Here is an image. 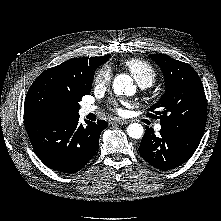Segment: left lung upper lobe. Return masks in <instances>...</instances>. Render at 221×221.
Here are the masks:
<instances>
[{
    "label": "left lung upper lobe",
    "instance_id": "1",
    "mask_svg": "<svg viewBox=\"0 0 221 221\" xmlns=\"http://www.w3.org/2000/svg\"><path fill=\"white\" fill-rule=\"evenodd\" d=\"M149 57L165 77V94L152 105L149 117L159 118L161 128L192 133L202 137L207 119L204 88L196 71L188 64L165 54Z\"/></svg>",
    "mask_w": 221,
    "mask_h": 221
}]
</instances>
